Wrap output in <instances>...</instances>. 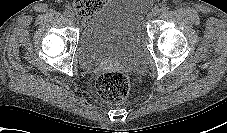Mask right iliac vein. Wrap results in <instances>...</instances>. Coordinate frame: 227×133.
I'll list each match as a JSON object with an SVG mask.
<instances>
[{"instance_id":"right-iliac-vein-1","label":"right iliac vein","mask_w":227,"mask_h":133,"mask_svg":"<svg viewBox=\"0 0 227 133\" xmlns=\"http://www.w3.org/2000/svg\"><path fill=\"white\" fill-rule=\"evenodd\" d=\"M70 19L72 20V21H75L76 20V18H75V16H74V14H70Z\"/></svg>"}]
</instances>
